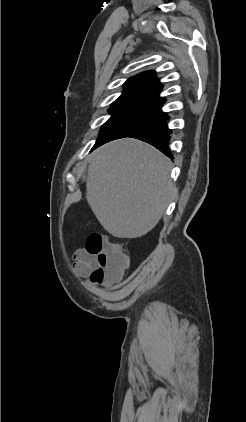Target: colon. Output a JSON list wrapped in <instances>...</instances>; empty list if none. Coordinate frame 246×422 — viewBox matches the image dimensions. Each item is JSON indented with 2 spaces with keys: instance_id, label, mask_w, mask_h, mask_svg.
Masks as SVG:
<instances>
[{
  "instance_id": "obj_1",
  "label": "colon",
  "mask_w": 246,
  "mask_h": 422,
  "mask_svg": "<svg viewBox=\"0 0 246 422\" xmlns=\"http://www.w3.org/2000/svg\"><path fill=\"white\" fill-rule=\"evenodd\" d=\"M86 250L96 257L97 267L92 273L95 279L117 278L127 265V258L121 248L100 233L94 232L88 236Z\"/></svg>"
}]
</instances>
